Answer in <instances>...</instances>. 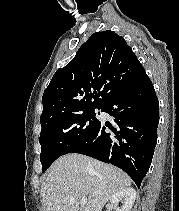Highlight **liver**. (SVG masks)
Returning <instances> with one entry per match:
<instances>
[{
  "instance_id": "6515ba94",
  "label": "liver",
  "mask_w": 179,
  "mask_h": 211,
  "mask_svg": "<svg viewBox=\"0 0 179 211\" xmlns=\"http://www.w3.org/2000/svg\"><path fill=\"white\" fill-rule=\"evenodd\" d=\"M122 170L81 154H67L49 168L41 185L45 211H101L117 192L131 186ZM87 199L81 205L80 198Z\"/></svg>"
}]
</instances>
